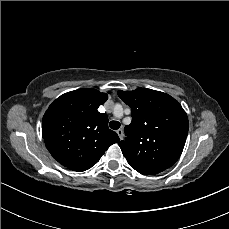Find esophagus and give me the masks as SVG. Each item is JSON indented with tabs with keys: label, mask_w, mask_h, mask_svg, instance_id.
Returning <instances> with one entry per match:
<instances>
[{
	"label": "esophagus",
	"mask_w": 229,
	"mask_h": 229,
	"mask_svg": "<svg viewBox=\"0 0 229 229\" xmlns=\"http://www.w3.org/2000/svg\"><path fill=\"white\" fill-rule=\"evenodd\" d=\"M117 134H118V136H119L120 140H122V139H123V137H124L123 130H122V129H118V130H117Z\"/></svg>",
	"instance_id": "obj_1"
}]
</instances>
